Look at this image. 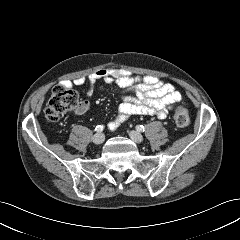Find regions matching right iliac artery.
I'll return each mask as SVG.
<instances>
[{
	"mask_svg": "<svg viewBox=\"0 0 240 240\" xmlns=\"http://www.w3.org/2000/svg\"><path fill=\"white\" fill-rule=\"evenodd\" d=\"M103 129H104L103 125H98V126H96L95 131L101 132V131H103Z\"/></svg>",
	"mask_w": 240,
	"mask_h": 240,
	"instance_id": "right-iliac-artery-1",
	"label": "right iliac artery"
}]
</instances>
